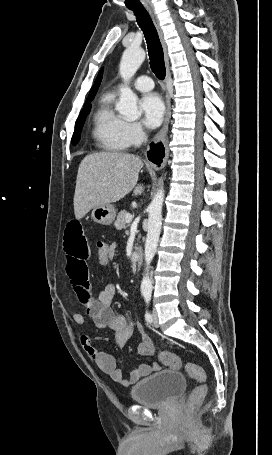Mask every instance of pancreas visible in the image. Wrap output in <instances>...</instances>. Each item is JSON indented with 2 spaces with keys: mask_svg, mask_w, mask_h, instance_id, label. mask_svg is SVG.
Instances as JSON below:
<instances>
[{
  "mask_svg": "<svg viewBox=\"0 0 272 455\" xmlns=\"http://www.w3.org/2000/svg\"><path fill=\"white\" fill-rule=\"evenodd\" d=\"M128 214L127 211L125 210H122L121 212H119V214L117 215V219L114 223V226L117 230H121L123 228H125V224H126V215Z\"/></svg>",
  "mask_w": 272,
  "mask_h": 455,
  "instance_id": "1",
  "label": "pancreas"
}]
</instances>
